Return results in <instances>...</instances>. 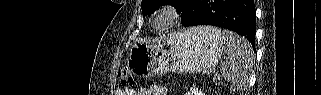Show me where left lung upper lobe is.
<instances>
[{"mask_svg": "<svg viewBox=\"0 0 321 95\" xmlns=\"http://www.w3.org/2000/svg\"><path fill=\"white\" fill-rule=\"evenodd\" d=\"M188 2L189 0H142L141 9L144 15H147L153 13L159 6L172 5L180 13Z\"/></svg>", "mask_w": 321, "mask_h": 95, "instance_id": "left-lung-upper-lobe-1", "label": "left lung upper lobe"}]
</instances>
